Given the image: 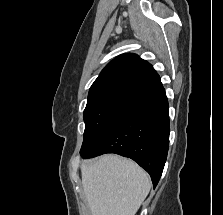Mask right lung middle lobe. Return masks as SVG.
<instances>
[{"mask_svg": "<svg viewBox=\"0 0 223 215\" xmlns=\"http://www.w3.org/2000/svg\"><path fill=\"white\" fill-rule=\"evenodd\" d=\"M145 96L129 91L107 92L88 99L83 113L85 131L80 154L91 151L107 132Z\"/></svg>", "mask_w": 223, "mask_h": 215, "instance_id": "1", "label": "right lung middle lobe"}]
</instances>
